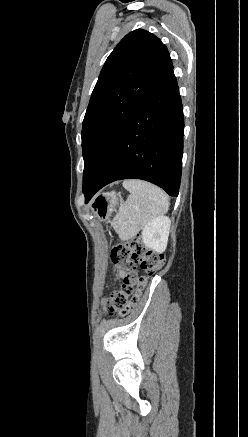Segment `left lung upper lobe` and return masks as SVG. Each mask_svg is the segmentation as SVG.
Returning <instances> with one entry per match:
<instances>
[{
	"mask_svg": "<svg viewBox=\"0 0 248 437\" xmlns=\"http://www.w3.org/2000/svg\"><path fill=\"white\" fill-rule=\"evenodd\" d=\"M172 69L166 46L142 29L127 34L108 56L83 120L84 193L124 124Z\"/></svg>",
	"mask_w": 248,
	"mask_h": 437,
	"instance_id": "obj_1",
	"label": "left lung upper lobe"
}]
</instances>
